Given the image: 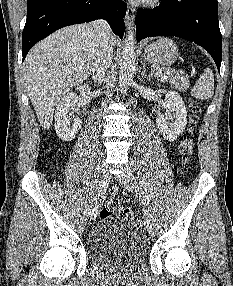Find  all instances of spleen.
<instances>
[{
	"mask_svg": "<svg viewBox=\"0 0 233 286\" xmlns=\"http://www.w3.org/2000/svg\"><path fill=\"white\" fill-rule=\"evenodd\" d=\"M214 94V76L209 68L204 69L198 82L191 90V95L198 99H208Z\"/></svg>",
	"mask_w": 233,
	"mask_h": 286,
	"instance_id": "obj_1",
	"label": "spleen"
}]
</instances>
